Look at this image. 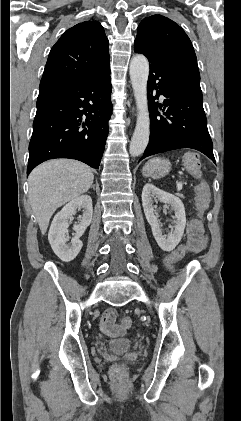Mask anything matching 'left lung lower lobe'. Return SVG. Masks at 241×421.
<instances>
[{
    "label": "left lung lower lobe",
    "instance_id": "obj_1",
    "mask_svg": "<svg viewBox=\"0 0 241 421\" xmlns=\"http://www.w3.org/2000/svg\"><path fill=\"white\" fill-rule=\"evenodd\" d=\"M136 53L144 54L150 62L148 100L150 109V141L140 160L162 152L180 149H196L214 163L213 144L207 129L197 68L154 57L138 45ZM153 90H156L154 97ZM165 97L163 104L155 99ZM158 108L165 111L160 115Z\"/></svg>",
    "mask_w": 241,
    "mask_h": 421
}]
</instances>
